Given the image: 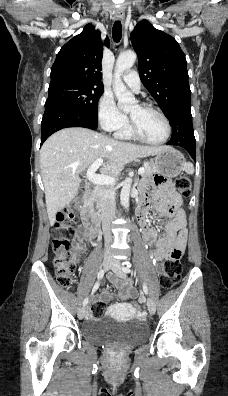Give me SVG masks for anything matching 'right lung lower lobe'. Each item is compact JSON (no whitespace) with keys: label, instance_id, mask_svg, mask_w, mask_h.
Returning a JSON list of instances; mask_svg holds the SVG:
<instances>
[{"label":"right lung lower lobe","instance_id":"1","mask_svg":"<svg viewBox=\"0 0 228 396\" xmlns=\"http://www.w3.org/2000/svg\"><path fill=\"white\" fill-rule=\"evenodd\" d=\"M43 142L56 131L68 127L97 128V119L61 102L45 103L42 119Z\"/></svg>","mask_w":228,"mask_h":396}]
</instances>
